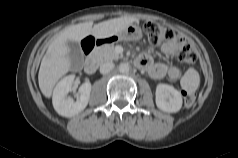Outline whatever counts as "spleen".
Here are the masks:
<instances>
[{
	"label": "spleen",
	"mask_w": 238,
	"mask_h": 158,
	"mask_svg": "<svg viewBox=\"0 0 238 158\" xmlns=\"http://www.w3.org/2000/svg\"><path fill=\"white\" fill-rule=\"evenodd\" d=\"M199 83V73L194 68H189L181 78V86L189 92H195Z\"/></svg>",
	"instance_id": "3e777b00"
}]
</instances>
